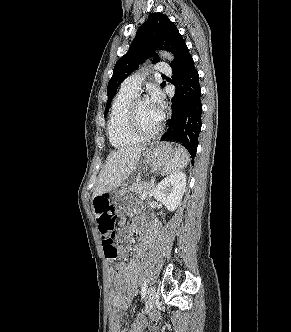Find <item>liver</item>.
<instances>
[{
    "label": "liver",
    "mask_w": 291,
    "mask_h": 332,
    "mask_svg": "<svg viewBox=\"0 0 291 332\" xmlns=\"http://www.w3.org/2000/svg\"><path fill=\"white\" fill-rule=\"evenodd\" d=\"M146 146L122 148L111 153L100 173L98 185L93 197L117 190L121 184L135 171Z\"/></svg>",
    "instance_id": "6515ba94"
}]
</instances>
